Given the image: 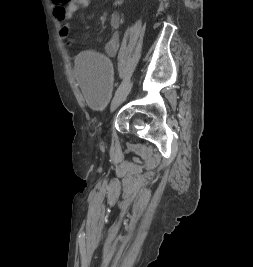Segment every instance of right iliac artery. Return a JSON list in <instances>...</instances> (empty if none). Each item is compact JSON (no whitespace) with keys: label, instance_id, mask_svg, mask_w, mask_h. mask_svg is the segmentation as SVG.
Instances as JSON below:
<instances>
[{"label":"right iliac artery","instance_id":"right-iliac-artery-1","mask_svg":"<svg viewBox=\"0 0 253 267\" xmlns=\"http://www.w3.org/2000/svg\"><path fill=\"white\" fill-rule=\"evenodd\" d=\"M129 76L128 75H125L124 78H123V81L120 85V87L117 89L116 93L119 92L124 86H126V84L129 82Z\"/></svg>","mask_w":253,"mask_h":267}]
</instances>
